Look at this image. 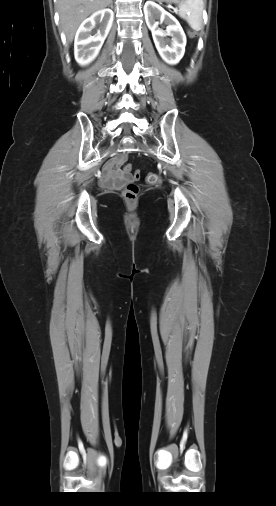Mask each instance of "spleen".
I'll list each match as a JSON object with an SVG mask.
<instances>
[{"label": "spleen", "mask_w": 276, "mask_h": 506, "mask_svg": "<svg viewBox=\"0 0 276 506\" xmlns=\"http://www.w3.org/2000/svg\"><path fill=\"white\" fill-rule=\"evenodd\" d=\"M178 7L179 16L185 19L193 30L202 29L203 0H182Z\"/></svg>", "instance_id": "obj_1"}]
</instances>
